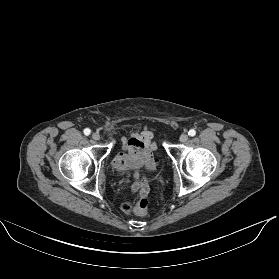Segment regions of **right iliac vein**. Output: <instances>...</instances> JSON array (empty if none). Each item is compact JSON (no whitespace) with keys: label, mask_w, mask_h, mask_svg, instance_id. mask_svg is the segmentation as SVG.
I'll return each instance as SVG.
<instances>
[{"label":"right iliac vein","mask_w":279,"mask_h":279,"mask_svg":"<svg viewBox=\"0 0 279 279\" xmlns=\"http://www.w3.org/2000/svg\"><path fill=\"white\" fill-rule=\"evenodd\" d=\"M92 139L95 140V141H98L100 140V134L95 132L92 134Z\"/></svg>","instance_id":"63e3f726"}]
</instances>
